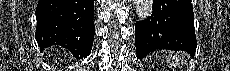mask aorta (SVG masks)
Wrapping results in <instances>:
<instances>
[{
  "label": "aorta",
  "mask_w": 230,
  "mask_h": 71,
  "mask_svg": "<svg viewBox=\"0 0 230 71\" xmlns=\"http://www.w3.org/2000/svg\"><path fill=\"white\" fill-rule=\"evenodd\" d=\"M137 16L145 20L152 14V0H134Z\"/></svg>",
  "instance_id": "obj_1"
}]
</instances>
